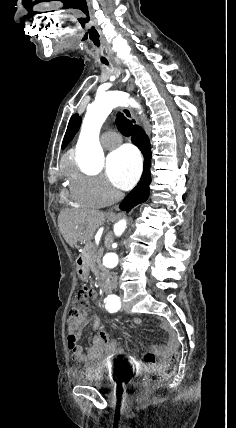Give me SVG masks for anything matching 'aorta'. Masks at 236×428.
Wrapping results in <instances>:
<instances>
[{
  "mask_svg": "<svg viewBox=\"0 0 236 428\" xmlns=\"http://www.w3.org/2000/svg\"><path fill=\"white\" fill-rule=\"evenodd\" d=\"M128 104L139 108L135 100L129 99L126 93L110 91L99 94L94 102L87 107L76 145L77 160L85 170L94 172L102 166L104 153L99 142L100 129L115 107ZM126 227L127 222L125 219L117 222L114 225L115 235H122ZM118 263L119 257L115 252H108L103 257V264L108 268L116 267Z\"/></svg>",
  "mask_w": 236,
  "mask_h": 428,
  "instance_id": "obj_1",
  "label": "aorta"
}]
</instances>
